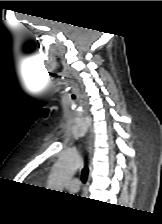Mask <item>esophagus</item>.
<instances>
[{"label":"esophagus","instance_id":"1","mask_svg":"<svg viewBox=\"0 0 162 224\" xmlns=\"http://www.w3.org/2000/svg\"><path fill=\"white\" fill-rule=\"evenodd\" d=\"M88 151H89V163H90V171L93 167V157H94V131L92 127L89 132V141H88ZM90 177L88 179L87 185L89 184Z\"/></svg>","mask_w":162,"mask_h":224}]
</instances>
